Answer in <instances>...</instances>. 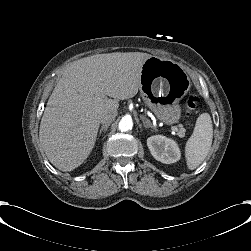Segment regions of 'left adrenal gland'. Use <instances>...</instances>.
Masks as SVG:
<instances>
[{
    "mask_svg": "<svg viewBox=\"0 0 251 251\" xmlns=\"http://www.w3.org/2000/svg\"><path fill=\"white\" fill-rule=\"evenodd\" d=\"M141 119L145 128H152L154 131H157V128L152 126L149 119L145 118L144 116H141Z\"/></svg>",
    "mask_w": 251,
    "mask_h": 251,
    "instance_id": "left-adrenal-gland-1",
    "label": "left adrenal gland"
}]
</instances>
